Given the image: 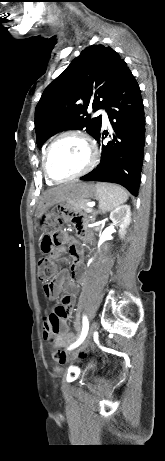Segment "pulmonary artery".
I'll use <instances>...</instances> for the list:
<instances>
[{
    "label": "pulmonary artery",
    "mask_w": 165,
    "mask_h": 461,
    "mask_svg": "<svg viewBox=\"0 0 165 461\" xmlns=\"http://www.w3.org/2000/svg\"><path fill=\"white\" fill-rule=\"evenodd\" d=\"M98 113L102 115L103 124L104 125L109 124V119H108L107 114L103 110H99Z\"/></svg>",
    "instance_id": "1"
}]
</instances>
